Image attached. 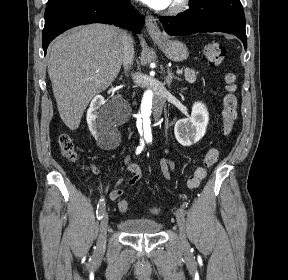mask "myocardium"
<instances>
[{"label":"myocardium","mask_w":288,"mask_h":280,"mask_svg":"<svg viewBox=\"0 0 288 280\" xmlns=\"http://www.w3.org/2000/svg\"><path fill=\"white\" fill-rule=\"evenodd\" d=\"M190 3L191 0H174L168 9V13L172 15L180 14L189 8Z\"/></svg>","instance_id":"f54148a6"}]
</instances>
